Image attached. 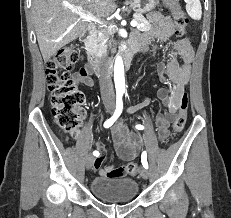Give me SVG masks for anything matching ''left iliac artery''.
<instances>
[{"label":"left iliac artery","instance_id":"obj_1","mask_svg":"<svg viewBox=\"0 0 231 218\" xmlns=\"http://www.w3.org/2000/svg\"><path fill=\"white\" fill-rule=\"evenodd\" d=\"M136 129H139V130H143L144 129V126L143 125H136L135 126ZM141 162H142V165L144 166V168L148 169V163H147V154L146 152H143L142 155H141Z\"/></svg>","mask_w":231,"mask_h":218}]
</instances>
